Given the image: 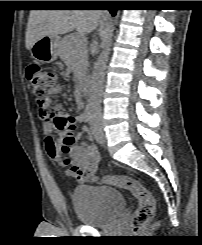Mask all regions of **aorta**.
Here are the masks:
<instances>
[{
    "mask_svg": "<svg viewBox=\"0 0 202 245\" xmlns=\"http://www.w3.org/2000/svg\"><path fill=\"white\" fill-rule=\"evenodd\" d=\"M110 46H111V40L107 39L104 42L103 50L98 56L97 61L94 65V69L90 81L91 101H97L101 96L103 90L106 64L110 53Z\"/></svg>",
    "mask_w": 202,
    "mask_h": 245,
    "instance_id": "1",
    "label": "aorta"
}]
</instances>
